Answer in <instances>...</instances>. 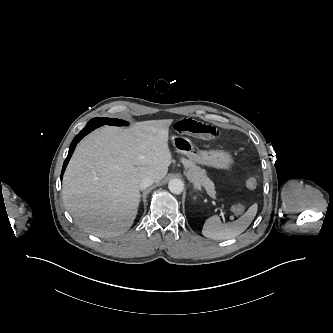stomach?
Instances as JSON below:
<instances>
[{
  "instance_id": "obj_1",
  "label": "stomach",
  "mask_w": 333,
  "mask_h": 333,
  "mask_svg": "<svg viewBox=\"0 0 333 333\" xmlns=\"http://www.w3.org/2000/svg\"><path fill=\"white\" fill-rule=\"evenodd\" d=\"M174 147L182 154L186 155L190 160L197 163H203L208 166L229 170L233 158L228 152L223 150H199L190 139L180 136L171 138Z\"/></svg>"
}]
</instances>
